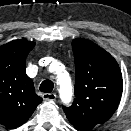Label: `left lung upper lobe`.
Listing matches in <instances>:
<instances>
[{
  "label": "left lung upper lobe",
  "mask_w": 131,
  "mask_h": 131,
  "mask_svg": "<svg viewBox=\"0 0 131 131\" xmlns=\"http://www.w3.org/2000/svg\"><path fill=\"white\" fill-rule=\"evenodd\" d=\"M75 60V99L63 110L70 123L90 131L107 121L118 107L123 80L116 60L90 40L72 41Z\"/></svg>",
  "instance_id": "obj_1"
}]
</instances>
